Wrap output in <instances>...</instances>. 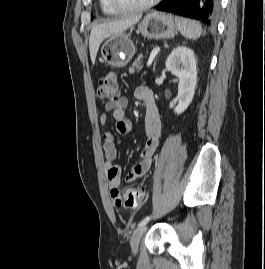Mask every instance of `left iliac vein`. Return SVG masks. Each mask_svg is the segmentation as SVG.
<instances>
[{
	"label": "left iliac vein",
	"instance_id": "obj_1",
	"mask_svg": "<svg viewBox=\"0 0 265 269\" xmlns=\"http://www.w3.org/2000/svg\"><path fill=\"white\" fill-rule=\"evenodd\" d=\"M146 229H147L146 225L140 226L132 234L130 245H131V250L134 254H136L138 251L140 240L143 237Z\"/></svg>",
	"mask_w": 265,
	"mask_h": 269
}]
</instances>
